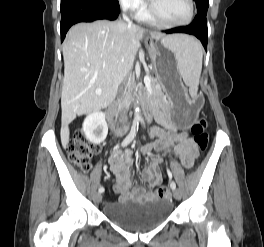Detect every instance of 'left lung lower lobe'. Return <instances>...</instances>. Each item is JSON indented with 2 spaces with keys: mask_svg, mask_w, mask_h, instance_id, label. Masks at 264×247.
<instances>
[{
  "mask_svg": "<svg viewBox=\"0 0 264 247\" xmlns=\"http://www.w3.org/2000/svg\"><path fill=\"white\" fill-rule=\"evenodd\" d=\"M165 33H187L196 36L202 42L205 50L207 49L208 30L206 15H199L195 17L194 21L186 27H177L165 30Z\"/></svg>",
  "mask_w": 264,
  "mask_h": 247,
  "instance_id": "1",
  "label": "left lung lower lobe"
}]
</instances>
